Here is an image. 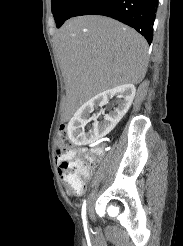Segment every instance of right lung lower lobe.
<instances>
[{
  "mask_svg": "<svg viewBox=\"0 0 183 246\" xmlns=\"http://www.w3.org/2000/svg\"><path fill=\"white\" fill-rule=\"evenodd\" d=\"M157 7L158 0H79L67 19L81 15L108 16L133 27L150 44Z\"/></svg>",
  "mask_w": 183,
  "mask_h": 246,
  "instance_id": "right-lung-lower-lobe-1",
  "label": "right lung lower lobe"
}]
</instances>
